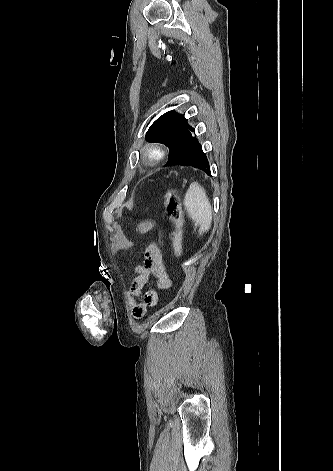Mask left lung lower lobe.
Wrapping results in <instances>:
<instances>
[{
  "label": "left lung lower lobe",
  "mask_w": 333,
  "mask_h": 471,
  "mask_svg": "<svg viewBox=\"0 0 333 471\" xmlns=\"http://www.w3.org/2000/svg\"><path fill=\"white\" fill-rule=\"evenodd\" d=\"M170 165L193 166L203 170L207 175H211L207 157L196 138L190 141L166 163V166Z\"/></svg>",
  "instance_id": "obj_1"
}]
</instances>
